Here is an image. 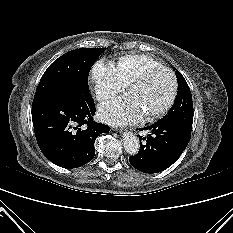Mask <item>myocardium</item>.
I'll use <instances>...</instances> for the list:
<instances>
[{"label": "myocardium", "mask_w": 233, "mask_h": 233, "mask_svg": "<svg viewBox=\"0 0 233 233\" xmlns=\"http://www.w3.org/2000/svg\"><path fill=\"white\" fill-rule=\"evenodd\" d=\"M157 71H165L170 75L171 81H172L171 93L166 103L160 109H158L157 111L153 113L144 115L147 120H154V119H157L163 116L173 105L176 99L177 91H178V82H177L176 75L170 68L166 66L150 67L146 69L145 71H143L138 76H136L133 80H131L128 83V88H130L133 85L141 84L145 82L153 73Z\"/></svg>", "instance_id": "f54148a6"}]
</instances>
